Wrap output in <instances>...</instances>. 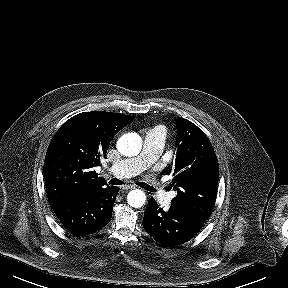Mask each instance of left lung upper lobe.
<instances>
[{
    "label": "left lung upper lobe",
    "mask_w": 288,
    "mask_h": 288,
    "mask_svg": "<svg viewBox=\"0 0 288 288\" xmlns=\"http://www.w3.org/2000/svg\"><path fill=\"white\" fill-rule=\"evenodd\" d=\"M173 175L171 187L177 195L171 205L207 220L217 195L219 165L208 137L184 118L177 120Z\"/></svg>",
    "instance_id": "5c2ea615"
}]
</instances>
